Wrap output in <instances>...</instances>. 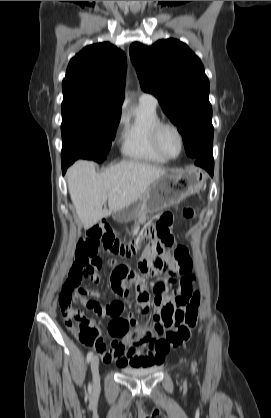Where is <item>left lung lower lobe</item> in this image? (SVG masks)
I'll list each match as a JSON object with an SVG mask.
<instances>
[{
	"label": "left lung lower lobe",
	"mask_w": 271,
	"mask_h": 418,
	"mask_svg": "<svg viewBox=\"0 0 271 418\" xmlns=\"http://www.w3.org/2000/svg\"><path fill=\"white\" fill-rule=\"evenodd\" d=\"M196 165L203 167L206 169L211 175H213L214 170V160L213 155L205 156L198 158L195 162Z\"/></svg>",
	"instance_id": "0a47b994"
}]
</instances>
